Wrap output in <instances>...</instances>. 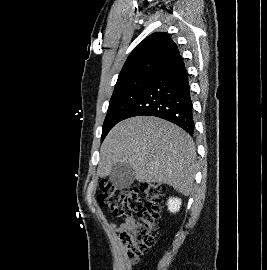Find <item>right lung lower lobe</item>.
I'll use <instances>...</instances> for the list:
<instances>
[{
    "mask_svg": "<svg viewBox=\"0 0 267 270\" xmlns=\"http://www.w3.org/2000/svg\"><path fill=\"white\" fill-rule=\"evenodd\" d=\"M142 115L160 117L180 126L191 136L194 134L190 86L180 55L155 74L125 119Z\"/></svg>",
    "mask_w": 267,
    "mask_h": 270,
    "instance_id": "1",
    "label": "right lung lower lobe"
}]
</instances>
